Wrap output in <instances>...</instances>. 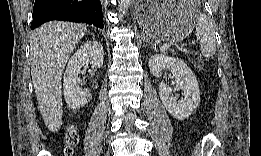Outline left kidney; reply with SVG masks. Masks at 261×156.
Segmentation results:
<instances>
[{"label": "left kidney", "instance_id": "1", "mask_svg": "<svg viewBox=\"0 0 261 156\" xmlns=\"http://www.w3.org/2000/svg\"><path fill=\"white\" fill-rule=\"evenodd\" d=\"M150 72L160 78L165 69H170L175 78L176 87L172 88L164 81L159 83V96L167 111L176 119L188 118L200 102V93L197 79L181 59L163 54L153 55L149 59ZM176 90L182 91V98L173 96Z\"/></svg>", "mask_w": 261, "mask_h": 156}]
</instances>
